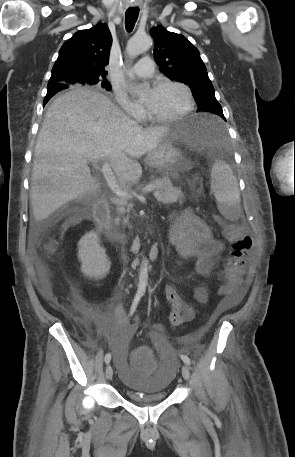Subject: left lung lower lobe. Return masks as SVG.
I'll list each match as a JSON object with an SVG mask.
<instances>
[{
    "instance_id": "obj_1",
    "label": "left lung lower lobe",
    "mask_w": 295,
    "mask_h": 457,
    "mask_svg": "<svg viewBox=\"0 0 295 457\" xmlns=\"http://www.w3.org/2000/svg\"><path fill=\"white\" fill-rule=\"evenodd\" d=\"M211 113H214V114L219 115V116L221 115V113L219 111H216V110H213ZM220 117L225 120V117L224 118L222 116H220ZM207 128H208V130L210 132H212V127L211 126L207 125Z\"/></svg>"
}]
</instances>
